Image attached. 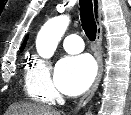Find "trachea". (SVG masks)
Returning a JSON list of instances; mask_svg holds the SVG:
<instances>
[{
    "instance_id": "1",
    "label": "trachea",
    "mask_w": 131,
    "mask_h": 115,
    "mask_svg": "<svg viewBox=\"0 0 131 115\" xmlns=\"http://www.w3.org/2000/svg\"><path fill=\"white\" fill-rule=\"evenodd\" d=\"M80 17L83 30L90 41H94L97 34V25L93 14L92 0H79Z\"/></svg>"
}]
</instances>
